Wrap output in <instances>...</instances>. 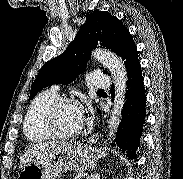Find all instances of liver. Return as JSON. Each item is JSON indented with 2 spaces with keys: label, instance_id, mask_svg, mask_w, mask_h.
Masks as SVG:
<instances>
[{
  "label": "liver",
  "instance_id": "1",
  "mask_svg": "<svg viewBox=\"0 0 183 179\" xmlns=\"http://www.w3.org/2000/svg\"><path fill=\"white\" fill-rule=\"evenodd\" d=\"M55 142L43 143V144H36L22 154L20 158L19 169L22 168L31 160H33L36 156H38L41 152H43L48 146L53 145Z\"/></svg>",
  "mask_w": 183,
  "mask_h": 179
}]
</instances>
